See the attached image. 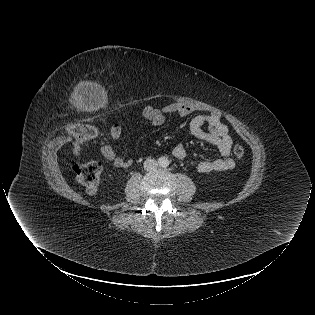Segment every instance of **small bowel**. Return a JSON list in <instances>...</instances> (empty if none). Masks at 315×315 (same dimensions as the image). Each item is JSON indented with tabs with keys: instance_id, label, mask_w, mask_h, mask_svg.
Masks as SVG:
<instances>
[{
	"instance_id": "c3829d8e",
	"label": "small bowel",
	"mask_w": 315,
	"mask_h": 315,
	"mask_svg": "<svg viewBox=\"0 0 315 315\" xmlns=\"http://www.w3.org/2000/svg\"><path fill=\"white\" fill-rule=\"evenodd\" d=\"M192 112L193 109L190 106L180 102L168 104L161 109L148 105L142 110L139 121L152 126H161L165 123L167 114L187 116ZM205 125L207 130H204ZM189 129L194 137L216 146L221 155L219 159L199 162L197 164L199 172H220L231 170L235 167V161L231 157L232 139L229 129L219 113L212 112L207 115L199 114L194 116L190 120ZM123 133V127L119 123L112 125L110 135L114 140H119ZM101 154L106 160L112 162L116 168H127L132 164L131 159L118 156L114 148L108 143L102 145ZM172 154L178 160L187 158V151L182 145H177L173 149Z\"/></svg>"
}]
</instances>
